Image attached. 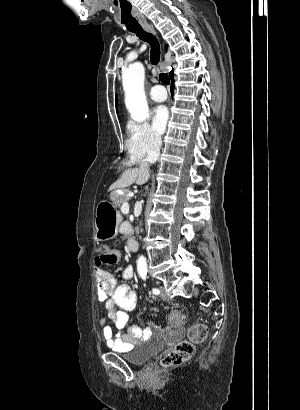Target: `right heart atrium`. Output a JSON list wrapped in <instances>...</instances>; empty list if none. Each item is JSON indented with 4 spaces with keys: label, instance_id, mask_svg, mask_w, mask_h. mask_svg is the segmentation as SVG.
<instances>
[{
    "label": "right heart atrium",
    "instance_id": "obj_1",
    "mask_svg": "<svg viewBox=\"0 0 300 410\" xmlns=\"http://www.w3.org/2000/svg\"><path fill=\"white\" fill-rule=\"evenodd\" d=\"M127 131L126 148L131 160H141L160 149L162 137L149 123L130 122Z\"/></svg>",
    "mask_w": 300,
    "mask_h": 410
}]
</instances>
